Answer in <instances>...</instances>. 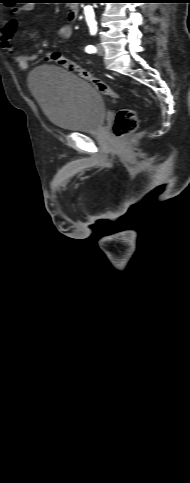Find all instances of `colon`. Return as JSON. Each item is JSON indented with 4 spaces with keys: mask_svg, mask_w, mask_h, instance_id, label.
Instances as JSON below:
<instances>
[{
    "mask_svg": "<svg viewBox=\"0 0 190 483\" xmlns=\"http://www.w3.org/2000/svg\"><path fill=\"white\" fill-rule=\"evenodd\" d=\"M48 57L53 63L60 65L68 72L76 73L82 79L90 82L101 94L109 96L114 101L120 98V95L115 91L111 84L94 77L88 70L80 67L61 52L53 51ZM137 128L138 117L137 111L134 107L123 108L117 113L113 124V133L117 138H123L130 135L135 132Z\"/></svg>",
    "mask_w": 190,
    "mask_h": 483,
    "instance_id": "5ec220e1",
    "label": "colon"
}]
</instances>
